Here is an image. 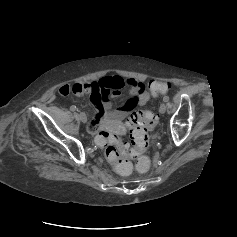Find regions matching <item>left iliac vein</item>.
I'll list each match as a JSON object with an SVG mask.
<instances>
[{"instance_id":"4c4485c4","label":"left iliac vein","mask_w":237,"mask_h":237,"mask_svg":"<svg viewBox=\"0 0 237 237\" xmlns=\"http://www.w3.org/2000/svg\"><path fill=\"white\" fill-rule=\"evenodd\" d=\"M159 112L161 114H164L166 112V105L164 103L160 105Z\"/></svg>"}]
</instances>
